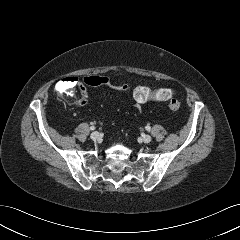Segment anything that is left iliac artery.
<instances>
[{
	"mask_svg": "<svg viewBox=\"0 0 240 240\" xmlns=\"http://www.w3.org/2000/svg\"><path fill=\"white\" fill-rule=\"evenodd\" d=\"M147 131H150L151 130V127L150 126H146L145 127Z\"/></svg>",
	"mask_w": 240,
	"mask_h": 240,
	"instance_id": "1",
	"label": "left iliac artery"
}]
</instances>
